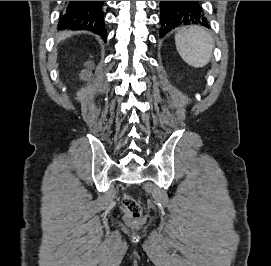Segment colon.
<instances>
[{"instance_id":"1","label":"colon","mask_w":271,"mask_h":266,"mask_svg":"<svg viewBox=\"0 0 271 266\" xmlns=\"http://www.w3.org/2000/svg\"><path fill=\"white\" fill-rule=\"evenodd\" d=\"M122 206L127 214L129 223L136 227L140 226L143 221V209L140 203L130 194H124Z\"/></svg>"}]
</instances>
